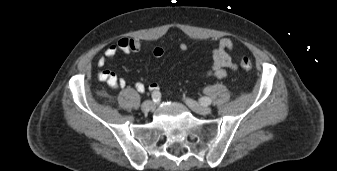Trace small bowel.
Segmentation results:
<instances>
[{"label":"small bowel","instance_id":"c3829d8e","mask_svg":"<svg viewBox=\"0 0 337 171\" xmlns=\"http://www.w3.org/2000/svg\"><path fill=\"white\" fill-rule=\"evenodd\" d=\"M234 42L230 38H222L217 46L209 48L211 56V67L202 74L203 78H225L228 71H236L237 65L232 60L229 52L234 49ZM141 49V42L138 39L122 37L116 43L109 45L103 55L97 60V65L100 68L105 67L107 61L112 60L119 51L124 53H136ZM188 47L185 43L179 44V50L182 52L187 51ZM153 55L160 58L164 54L162 47H155L152 51ZM97 78L99 81L105 82L112 89L126 88L127 82L123 78H119L114 72L110 70H102L98 73ZM135 89L142 93L145 91V85L141 82L135 83ZM149 89L153 92L159 90V85L152 82Z\"/></svg>","mask_w":337,"mask_h":171}]
</instances>
